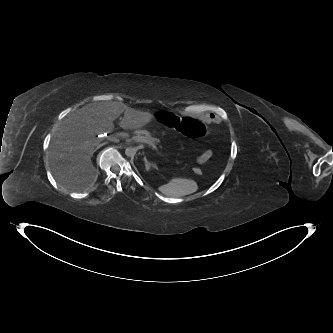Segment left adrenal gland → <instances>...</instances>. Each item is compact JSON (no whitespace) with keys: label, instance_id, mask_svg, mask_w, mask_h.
Returning a JSON list of instances; mask_svg holds the SVG:
<instances>
[{"label":"left adrenal gland","instance_id":"obj_1","mask_svg":"<svg viewBox=\"0 0 333 333\" xmlns=\"http://www.w3.org/2000/svg\"><path fill=\"white\" fill-rule=\"evenodd\" d=\"M144 162H145V167H146V170H147L148 172L151 170V168H154V167H155V165H154V164H152V163H149V162L147 161V158H146V156H144Z\"/></svg>","mask_w":333,"mask_h":333}]
</instances>
